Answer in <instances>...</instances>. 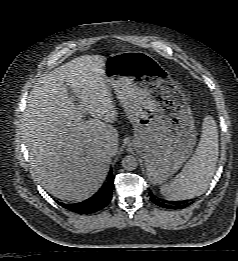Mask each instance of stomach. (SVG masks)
<instances>
[{
  "label": "stomach",
  "mask_w": 238,
  "mask_h": 261,
  "mask_svg": "<svg viewBox=\"0 0 238 261\" xmlns=\"http://www.w3.org/2000/svg\"><path fill=\"white\" fill-rule=\"evenodd\" d=\"M104 75L134 128L130 143L144 159L151 183L162 184L193 152L196 130L182 90L143 54L106 58Z\"/></svg>",
  "instance_id": "1"
}]
</instances>
